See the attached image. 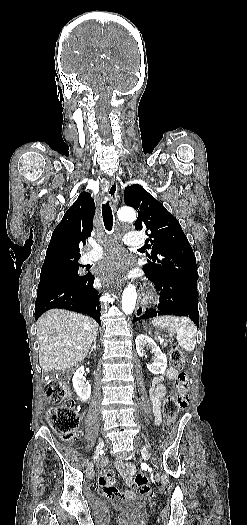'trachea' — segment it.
Returning <instances> with one entry per match:
<instances>
[{"instance_id": "trachea-1", "label": "trachea", "mask_w": 247, "mask_h": 525, "mask_svg": "<svg viewBox=\"0 0 247 525\" xmlns=\"http://www.w3.org/2000/svg\"><path fill=\"white\" fill-rule=\"evenodd\" d=\"M102 218L104 227L107 231H111L113 227V214L109 205V199L107 198L102 204Z\"/></svg>"}]
</instances>
